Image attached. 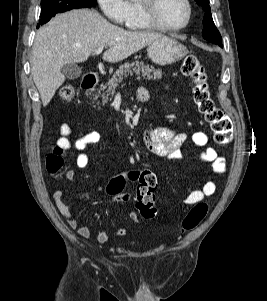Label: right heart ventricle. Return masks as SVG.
I'll list each match as a JSON object with an SVG mask.
<instances>
[{
    "mask_svg": "<svg viewBox=\"0 0 267 301\" xmlns=\"http://www.w3.org/2000/svg\"><path fill=\"white\" fill-rule=\"evenodd\" d=\"M129 16L126 22V27L130 30H138V31H151L156 30L153 26H151L143 17L139 0H129Z\"/></svg>",
    "mask_w": 267,
    "mask_h": 301,
    "instance_id": "right-heart-ventricle-1",
    "label": "right heart ventricle"
}]
</instances>
